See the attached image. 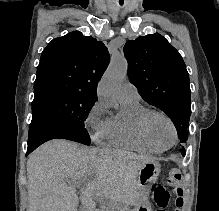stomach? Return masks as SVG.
Here are the masks:
<instances>
[{"mask_svg": "<svg viewBox=\"0 0 219 211\" xmlns=\"http://www.w3.org/2000/svg\"><path fill=\"white\" fill-rule=\"evenodd\" d=\"M161 166L158 162L152 161L142 165L137 170L136 183L141 191L140 204L134 211H152L150 205L147 203L145 193L158 179Z\"/></svg>", "mask_w": 219, "mask_h": 211, "instance_id": "1", "label": "stomach"}]
</instances>
